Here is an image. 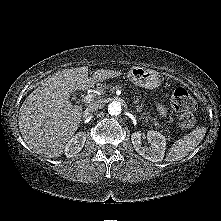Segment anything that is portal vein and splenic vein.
I'll use <instances>...</instances> for the list:
<instances>
[{"label":"portal vein and splenic vein","mask_w":221,"mask_h":221,"mask_svg":"<svg viewBox=\"0 0 221 221\" xmlns=\"http://www.w3.org/2000/svg\"><path fill=\"white\" fill-rule=\"evenodd\" d=\"M94 97H95L94 94H88L87 96L84 97V102L89 103L94 100Z\"/></svg>","instance_id":"obj_1"}]
</instances>
